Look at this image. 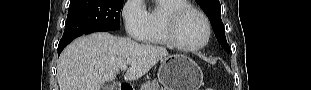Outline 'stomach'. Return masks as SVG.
Returning a JSON list of instances; mask_svg holds the SVG:
<instances>
[{
    "label": "stomach",
    "mask_w": 311,
    "mask_h": 90,
    "mask_svg": "<svg viewBox=\"0 0 311 90\" xmlns=\"http://www.w3.org/2000/svg\"><path fill=\"white\" fill-rule=\"evenodd\" d=\"M157 75L164 90H199L203 82L200 67L181 54L165 57Z\"/></svg>",
    "instance_id": "1"
}]
</instances>
